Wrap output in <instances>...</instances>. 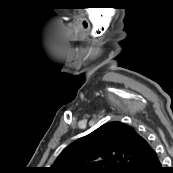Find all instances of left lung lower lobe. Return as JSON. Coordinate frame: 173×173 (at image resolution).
I'll list each match as a JSON object with an SVG mask.
<instances>
[{
	"label": "left lung lower lobe",
	"mask_w": 173,
	"mask_h": 173,
	"mask_svg": "<svg viewBox=\"0 0 173 173\" xmlns=\"http://www.w3.org/2000/svg\"><path fill=\"white\" fill-rule=\"evenodd\" d=\"M134 173H165V168L161 166L158 155L152 148Z\"/></svg>",
	"instance_id": "0a47b994"
}]
</instances>
